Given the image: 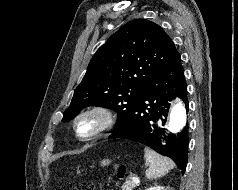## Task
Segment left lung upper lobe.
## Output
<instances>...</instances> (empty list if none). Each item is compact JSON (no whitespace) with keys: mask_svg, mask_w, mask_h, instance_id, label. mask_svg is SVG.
I'll list each match as a JSON object with an SVG mask.
<instances>
[{"mask_svg":"<svg viewBox=\"0 0 238 190\" xmlns=\"http://www.w3.org/2000/svg\"><path fill=\"white\" fill-rule=\"evenodd\" d=\"M177 54L170 37L156 23L128 22L94 54L62 121L73 119L86 106H101L118 113L116 128L151 78Z\"/></svg>","mask_w":238,"mask_h":190,"instance_id":"5c2ea615","label":"left lung upper lobe"}]
</instances>
